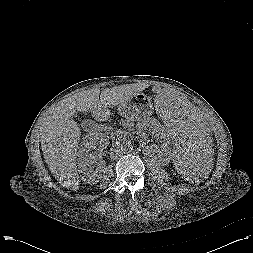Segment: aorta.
<instances>
[{
    "label": "aorta",
    "instance_id": "1",
    "mask_svg": "<svg viewBox=\"0 0 253 253\" xmlns=\"http://www.w3.org/2000/svg\"><path fill=\"white\" fill-rule=\"evenodd\" d=\"M133 146L132 143L130 141H123L120 144V149L123 153H128L132 150Z\"/></svg>",
    "mask_w": 253,
    "mask_h": 253
}]
</instances>
